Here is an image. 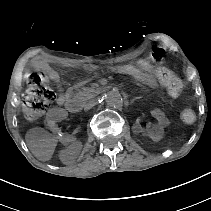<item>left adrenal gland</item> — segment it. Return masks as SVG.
<instances>
[{
	"label": "left adrenal gland",
	"mask_w": 211,
	"mask_h": 211,
	"mask_svg": "<svg viewBox=\"0 0 211 211\" xmlns=\"http://www.w3.org/2000/svg\"><path fill=\"white\" fill-rule=\"evenodd\" d=\"M140 98H141V97H135V98L132 100V102L135 101L136 99H140Z\"/></svg>",
	"instance_id": "obj_1"
}]
</instances>
